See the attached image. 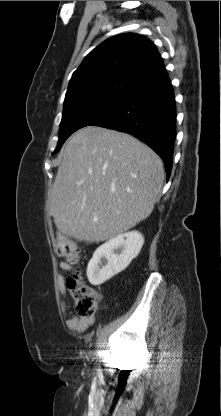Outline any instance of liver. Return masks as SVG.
Segmentation results:
<instances>
[{
  "label": "liver",
  "instance_id": "6515ba94",
  "mask_svg": "<svg viewBox=\"0 0 221 416\" xmlns=\"http://www.w3.org/2000/svg\"><path fill=\"white\" fill-rule=\"evenodd\" d=\"M164 181L161 158L135 137L87 126L67 142L49 195L57 229L87 243L149 217Z\"/></svg>",
  "mask_w": 221,
  "mask_h": 416
}]
</instances>
